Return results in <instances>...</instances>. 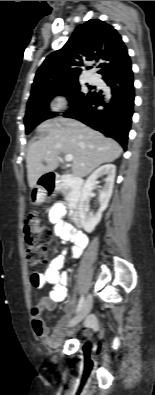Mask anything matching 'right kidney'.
I'll list each match as a JSON object with an SVG mask.
<instances>
[{
    "instance_id": "ca27d5eb",
    "label": "right kidney",
    "mask_w": 155,
    "mask_h": 395,
    "mask_svg": "<svg viewBox=\"0 0 155 395\" xmlns=\"http://www.w3.org/2000/svg\"><path fill=\"white\" fill-rule=\"evenodd\" d=\"M115 173V165L106 164L95 170L85 182L79 204V214L82 226L88 233L92 232L95 226L100 222L102 213L108 206L113 191ZM103 175H106V178L105 185L99 195L100 208L97 213L93 214L89 209V194L96 187L97 179Z\"/></svg>"
}]
</instances>
